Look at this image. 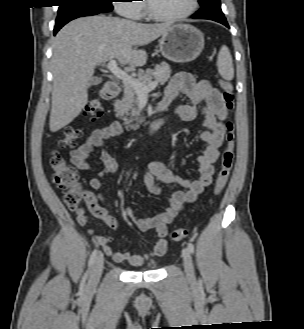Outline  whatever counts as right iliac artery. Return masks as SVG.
Segmentation results:
<instances>
[{
    "label": "right iliac artery",
    "instance_id": "obj_1",
    "mask_svg": "<svg viewBox=\"0 0 304 329\" xmlns=\"http://www.w3.org/2000/svg\"><path fill=\"white\" fill-rule=\"evenodd\" d=\"M96 257H97V250H94L90 256V259H89V262H88V270L87 272L85 273V278H87L91 272V268L96 260Z\"/></svg>",
    "mask_w": 304,
    "mask_h": 329
}]
</instances>
